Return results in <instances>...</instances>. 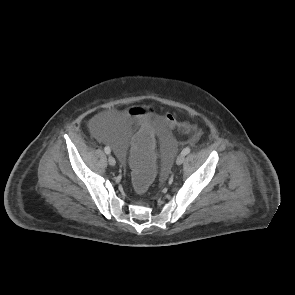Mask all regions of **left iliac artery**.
Here are the masks:
<instances>
[{"instance_id":"44dca946","label":"left iliac artery","mask_w":295,"mask_h":295,"mask_svg":"<svg viewBox=\"0 0 295 295\" xmlns=\"http://www.w3.org/2000/svg\"><path fill=\"white\" fill-rule=\"evenodd\" d=\"M190 152V148L189 147H186L182 150L181 154L182 155H187L188 153Z\"/></svg>"}]
</instances>
